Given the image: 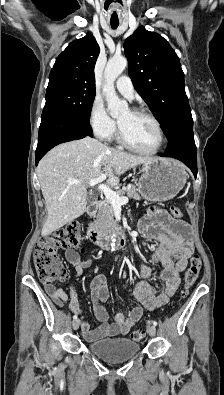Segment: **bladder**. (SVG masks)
I'll return each instance as SVG.
<instances>
[{
	"label": "bladder",
	"instance_id": "31cf9c89",
	"mask_svg": "<svg viewBox=\"0 0 224 395\" xmlns=\"http://www.w3.org/2000/svg\"><path fill=\"white\" fill-rule=\"evenodd\" d=\"M87 349L107 362H122L133 358L140 345L126 337L107 338L87 344Z\"/></svg>",
	"mask_w": 224,
	"mask_h": 395
}]
</instances>
